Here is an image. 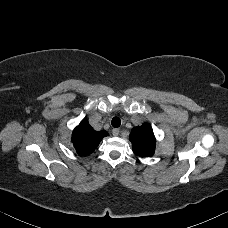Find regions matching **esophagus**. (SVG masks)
Instances as JSON below:
<instances>
[{"label":"esophagus","instance_id":"34e87169","mask_svg":"<svg viewBox=\"0 0 228 228\" xmlns=\"http://www.w3.org/2000/svg\"><path fill=\"white\" fill-rule=\"evenodd\" d=\"M112 133L114 136H118L120 133V130L118 128H115V129H113Z\"/></svg>","mask_w":228,"mask_h":228}]
</instances>
